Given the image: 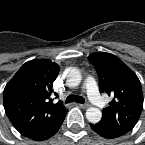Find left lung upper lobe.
Listing matches in <instances>:
<instances>
[{
    "mask_svg": "<svg viewBox=\"0 0 145 145\" xmlns=\"http://www.w3.org/2000/svg\"><path fill=\"white\" fill-rule=\"evenodd\" d=\"M88 59L97 71L100 92L112 97L97 124L125 135L136 125L143 109L141 83L136 74L113 54L98 52Z\"/></svg>",
    "mask_w": 145,
    "mask_h": 145,
    "instance_id": "left-lung-upper-lobe-1",
    "label": "left lung upper lobe"
}]
</instances>
